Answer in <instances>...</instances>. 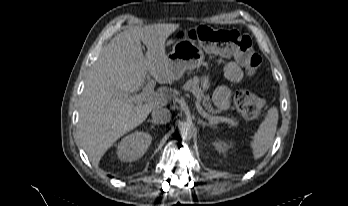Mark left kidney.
Masks as SVG:
<instances>
[{
    "label": "left kidney",
    "mask_w": 348,
    "mask_h": 206,
    "mask_svg": "<svg viewBox=\"0 0 348 206\" xmlns=\"http://www.w3.org/2000/svg\"><path fill=\"white\" fill-rule=\"evenodd\" d=\"M216 150H218L219 152H226L228 150V148L230 147L227 143L223 142V141H218L216 143H214Z\"/></svg>",
    "instance_id": "left-kidney-1"
}]
</instances>
